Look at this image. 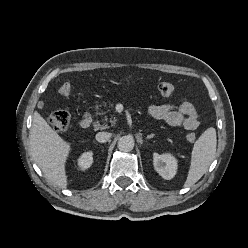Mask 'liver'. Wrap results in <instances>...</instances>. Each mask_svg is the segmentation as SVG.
<instances>
[{"label": "liver", "instance_id": "1", "mask_svg": "<svg viewBox=\"0 0 248 248\" xmlns=\"http://www.w3.org/2000/svg\"><path fill=\"white\" fill-rule=\"evenodd\" d=\"M70 145L38 112H34L30 130L31 155L45 177L61 188H66L68 184L65 163Z\"/></svg>", "mask_w": 248, "mask_h": 248}]
</instances>
